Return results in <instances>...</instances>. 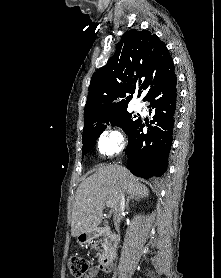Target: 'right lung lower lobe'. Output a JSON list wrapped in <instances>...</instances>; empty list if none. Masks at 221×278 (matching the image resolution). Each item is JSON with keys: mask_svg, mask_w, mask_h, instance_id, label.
Wrapping results in <instances>:
<instances>
[{"mask_svg": "<svg viewBox=\"0 0 221 278\" xmlns=\"http://www.w3.org/2000/svg\"><path fill=\"white\" fill-rule=\"evenodd\" d=\"M177 78L172 73L153 87L144 97L153 120L147 133L139 118L127 133L128 168L138 177L149 179L164 174L171 149L173 129L177 114Z\"/></svg>", "mask_w": 221, "mask_h": 278, "instance_id": "right-lung-lower-lobe-1", "label": "right lung lower lobe"}]
</instances>
